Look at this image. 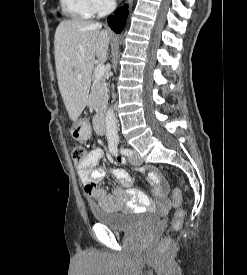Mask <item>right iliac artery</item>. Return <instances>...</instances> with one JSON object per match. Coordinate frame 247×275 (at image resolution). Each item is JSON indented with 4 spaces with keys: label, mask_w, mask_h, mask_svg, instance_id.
<instances>
[{
    "label": "right iliac artery",
    "mask_w": 247,
    "mask_h": 275,
    "mask_svg": "<svg viewBox=\"0 0 247 275\" xmlns=\"http://www.w3.org/2000/svg\"><path fill=\"white\" fill-rule=\"evenodd\" d=\"M109 150L112 155L117 156V143L114 141L109 142Z\"/></svg>",
    "instance_id": "obj_1"
}]
</instances>
